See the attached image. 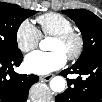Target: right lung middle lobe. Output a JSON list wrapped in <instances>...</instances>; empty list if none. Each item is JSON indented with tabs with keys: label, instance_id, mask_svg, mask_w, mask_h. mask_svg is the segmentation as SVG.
I'll return each instance as SVG.
<instances>
[{
	"label": "right lung middle lobe",
	"instance_id": "1",
	"mask_svg": "<svg viewBox=\"0 0 102 102\" xmlns=\"http://www.w3.org/2000/svg\"><path fill=\"white\" fill-rule=\"evenodd\" d=\"M36 11L26 10L15 4L0 3V55L20 53L16 40L20 24Z\"/></svg>",
	"mask_w": 102,
	"mask_h": 102
}]
</instances>
